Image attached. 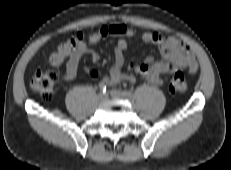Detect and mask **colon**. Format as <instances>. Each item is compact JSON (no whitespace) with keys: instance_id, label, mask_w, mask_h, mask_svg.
I'll return each mask as SVG.
<instances>
[{"instance_id":"5ec220e1","label":"colon","mask_w":231,"mask_h":170,"mask_svg":"<svg viewBox=\"0 0 231 170\" xmlns=\"http://www.w3.org/2000/svg\"><path fill=\"white\" fill-rule=\"evenodd\" d=\"M82 39L79 33L76 37L71 38L60 44L57 50L50 56L49 65L45 69L38 70L30 82V87L44 99H51L55 93L57 74L53 67L61 65L77 47L78 41ZM188 83L182 72H176L171 78L169 89L172 93H183L187 90Z\"/></svg>"}]
</instances>
